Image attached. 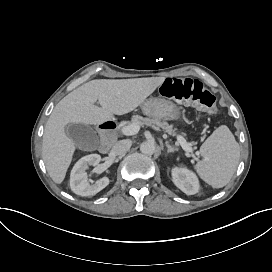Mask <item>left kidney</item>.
<instances>
[{"label": "left kidney", "mask_w": 272, "mask_h": 272, "mask_svg": "<svg viewBox=\"0 0 272 272\" xmlns=\"http://www.w3.org/2000/svg\"><path fill=\"white\" fill-rule=\"evenodd\" d=\"M172 181L187 195H194L198 193L200 188L196 174L187 168L174 167L172 169Z\"/></svg>", "instance_id": "5707ae66"}]
</instances>
